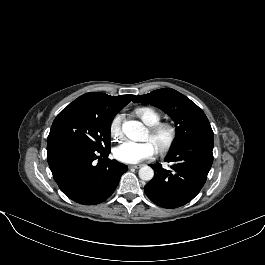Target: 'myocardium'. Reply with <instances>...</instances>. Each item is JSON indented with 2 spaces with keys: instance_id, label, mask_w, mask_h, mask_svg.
I'll return each instance as SVG.
<instances>
[{
  "instance_id": "1",
  "label": "myocardium",
  "mask_w": 265,
  "mask_h": 265,
  "mask_svg": "<svg viewBox=\"0 0 265 265\" xmlns=\"http://www.w3.org/2000/svg\"><path fill=\"white\" fill-rule=\"evenodd\" d=\"M149 138L160 153L167 152L175 143L177 129L169 122H159L149 129Z\"/></svg>"
}]
</instances>
